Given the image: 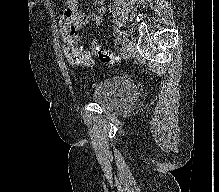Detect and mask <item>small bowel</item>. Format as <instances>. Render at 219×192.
Segmentation results:
<instances>
[{"instance_id": "obj_1", "label": "small bowel", "mask_w": 219, "mask_h": 192, "mask_svg": "<svg viewBox=\"0 0 219 192\" xmlns=\"http://www.w3.org/2000/svg\"><path fill=\"white\" fill-rule=\"evenodd\" d=\"M65 2V9L58 17V25L62 39L71 33L74 36L76 43L79 42V36L77 32L81 30L88 22H94L100 24L101 15L106 12L107 7L105 0H93L97 6L95 12L85 14L80 9L81 0H63ZM97 43L95 40L92 44ZM81 49V48H80Z\"/></svg>"}]
</instances>
